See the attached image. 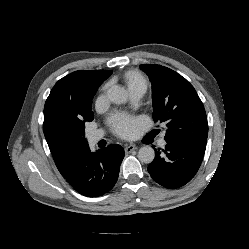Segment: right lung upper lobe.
<instances>
[{"instance_id":"obj_1","label":"right lung upper lobe","mask_w":249,"mask_h":249,"mask_svg":"<svg viewBox=\"0 0 249 249\" xmlns=\"http://www.w3.org/2000/svg\"><path fill=\"white\" fill-rule=\"evenodd\" d=\"M110 70H80L60 79L52 88L44 106V135L57 167L64 164L67 154L88 146L74 126L87 116L94 94L106 80Z\"/></svg>"}]
</instances>
